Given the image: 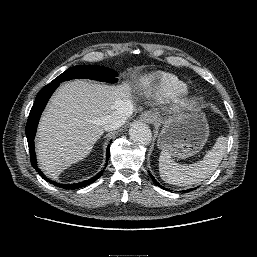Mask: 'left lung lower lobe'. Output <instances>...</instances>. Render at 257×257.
<instances>
[{"label": "left lung lower lobe", "instance_id": "1", "mask_svg": "<svg viewBox=\"0 0 257 257\" xmlns=\"http://www.w3.org/2000/svg\"><path fill=\"white\" fill-rule=\"evenodd\" d=\"M150 176H151L152 180L154 181V183H155L156 185H158L159 187L165 189L163 186H161V185L156 181V179H155L152 175H150ZM165 190H167V189H165ZM190 190H193V189H190ZM185 191H189V190H184V191H182V192H185Z\"/></svg>", "mask_w": 257, "mask_h": 257}]
</instances>
